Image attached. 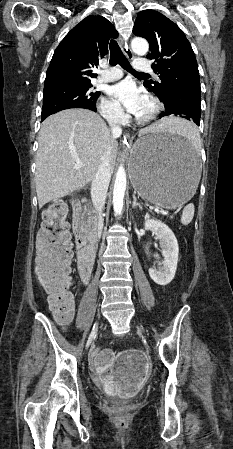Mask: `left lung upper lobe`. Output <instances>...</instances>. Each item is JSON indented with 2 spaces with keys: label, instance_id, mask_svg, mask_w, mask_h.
Wrapping results in <instances>:
<instances>
[{
  "label": "left lung upper lobe",
  "instance_id": "5c2ea615",
  "mask_svg": "<svg viewBox=\"0 0 233 449\" xmlns=\"http://www.w3.org/2000/svg\"><path fill=\"white\" fill-rule=\"evenodd\" d=\"M133 33L148 40L154 60L152 68L160 82L146 81L144 85L166 100L179 97L200 106L201 88L197 61L183 31L170 19L155 10L141 11Z\"/></svg>",
  "mask_w": 233,
  "mask_h": 449
}]
</instances>
